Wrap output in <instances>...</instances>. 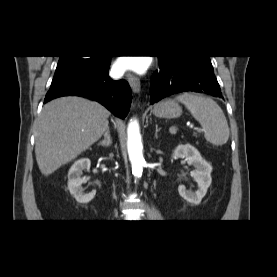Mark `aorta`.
Segmentation results:
<instances>
[{
	"instance_id": "762f6f07",
	"label": "aorta",
	"mask_w": 277,
	"mask_h": 277,
	"mask_svg": "<svg viewBox=\"0 0 277 277\" xmlns=\"http://www.w3.org/2000/svg\"><path fill=\"white\" fill-rule=\"evenodd\" d=\"M127 149L132 165V173L135 177L142 175L145 160L143 158V146L141 142L140 127L136 119L129 122L127 129Z\"/></svg>"
}]
</instances>
